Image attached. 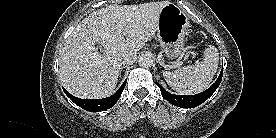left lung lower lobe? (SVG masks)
<instances>
[{
  "instance_id": "left-lung-lower-lobe-1",
  "label": "left lung lower lobe",
  "mask_w": 276,
  "mask_h": 138,
  "mask_svg": "<svg viewBox=\"0 0 276 138\" xmlns=\"http://www.w3.org/2000/svg\"><path fill=\"white\" fill-rule=\"evenodd\" d=\"M223 75V68L221 70V73L218 77V79L215 81V83L205 90L204 92H201L196 95L191 96H185V95H175L167 92L162 88L161 85L156 83V85L160 88L162 96L169 101L171 104L182 107V108H194L200 104H202L204 101H206L211 95L215 92V90L218 88V86L221 83Z\"/></svg>"
}]
</instances>
